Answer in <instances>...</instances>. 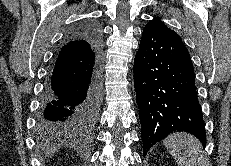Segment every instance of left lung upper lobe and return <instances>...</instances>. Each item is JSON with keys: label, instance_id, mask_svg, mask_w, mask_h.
Listing matches in <instances>:
<instances>
[{"label": "left lung upper lobe", "instance_id": "left-lung-upper-lobe-1", "mask_svg": "<svg viewBox=\"0 0 231 166\" xmlns=\"http://www.w3.org/2000/svg\"><path fill=\"white\" fill-rule=\"evenodd\" d=\"M145 27H149L165 36L180 38L181 37L173 30L168 28L158 17L151 20Z\"/></svg>", "mask_w": 231, "mask_h": 166}]
</instances>
